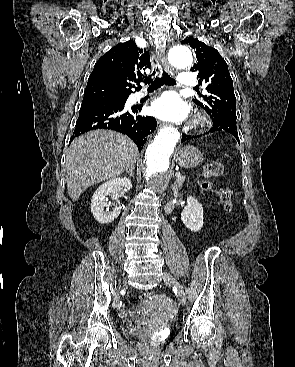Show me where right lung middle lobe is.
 Here are the masks:
<instances>
[{
  "mask_svg": "<svg viewBox=\"0 0 295 367\" xmlns=\"http://www.w3.org/2000/svg\"><path fill=\"white\" fill-rule=\"evenodd\" d=\"M127 98L128 96L119 95L104 88H90L85 90L82 103L87 102L125 103Z\"/></svg>",
  "mask_w": 295,
  "mask_h": 367,
  "instance_id": "dd1d6c3e",
  "label": "right lung middle lobe"
}]
</instances>
